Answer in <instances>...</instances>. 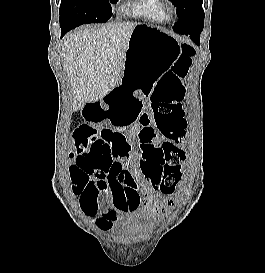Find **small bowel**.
<instances>
[{"label":"small bowel","instance_id":"small-bowel-1","mask_svg":"<svg viewBox=\"0 0 265 273\" xmlns=\"http://www.w3.org/2000/svg\"><path fill=\"white\" fill-rule=\"evenodd\" d=\"M125 96V97H123ZM129 96V97H128ZM144 99L134 91H111L103 102L85 103L83 119L88 123H114L117 136L109 144L110 165L100 175H95L98 193L93 196L85 192L78 194L83 214L95 221L102 231H109L115 223L131 210L145 205L156 215L162 208L155 203L153 174L162 169L166 159H160L161 135L156 128H140L135 124L139 112H143ZM74 129H111V124H74ZM127 128V129H126ZM139 137V153L129 139ZM139 182L142 190H139ZM130 191V192H129Z\"/></svg>","mask_w":265,"mask_h":273}]
</instances>
